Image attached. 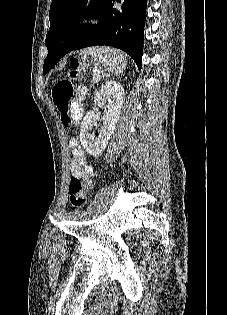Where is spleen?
Here are the masks:
<instances>
[{"instance_id": "3e777b00", "label": "spleen", "mask_w": 227, "mask_h": 315, "mask_svg": "<svg viewBox=\"0 0 227 315\" xmlns=\"http://www.w3.org/2000/svg\"><path fill=\"white\" fill-rule=\"evenodd\" d=\"M97 57L109 71L119 74L126 67V56L119 50L113 48H97L88 52Z\"/></svg>"}]
</instances>
